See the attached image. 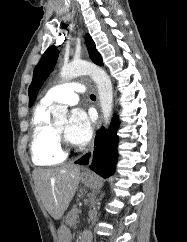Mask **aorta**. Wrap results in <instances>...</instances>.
Instances as JSON below:
<instances>
[{
    "label": "aorta",
    "instance_id": "aorta-1",
    "mask_svg": "<svg viewBox=\"0 0 187 242\" xmlns=\"http://www.w3.org/2000/svg\"><path fill=\"white\" fill-rule=\"evenodd\" d=\"M80 75H89L96 83L102 108L104 126L105 128H108L111 122L113 109L112 83L108 74L102 68L87 61H74L64 64L60 72V77L63 80L72 79ZM67 112L68 110L66 106L56 105L53 107L52 115L56 119H61Z\"/></svg>",
    "mask_w": 187,
    "mask_h": 242
}]
</instances>
